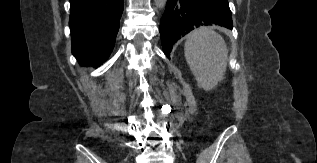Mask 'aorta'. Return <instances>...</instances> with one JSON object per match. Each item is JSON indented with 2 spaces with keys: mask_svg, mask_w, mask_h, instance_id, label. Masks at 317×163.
Returning <instances> with one entry per match:
<instances>
[{
  "mask_svg": "<svg viewBox=\"0 0 317 163\" xmlns=\"http://www.w3.org/2000/svg\"><path fill=\"white\" fill-rule=\"evenodd\" d=\"M154 2L158 8L163 9L166 6L167 0H154Z\"/></svg>",
  "mask_w": 317,
  "mask_h": 163,
  "instance_id": "obj_1",
  "label": "aorta"
}]
</instances>
